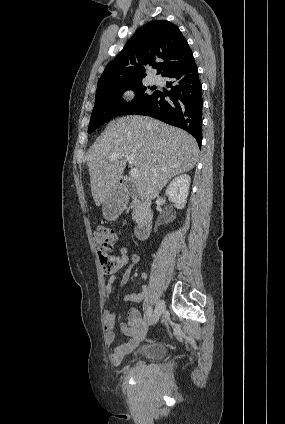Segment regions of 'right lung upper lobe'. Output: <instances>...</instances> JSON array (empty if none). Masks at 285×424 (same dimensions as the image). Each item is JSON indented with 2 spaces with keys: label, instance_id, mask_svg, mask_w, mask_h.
I'll return each mask as SVG.
<instances>
[{
  "label": "right lung upper lobe",
  "instance_id": "obj_1",
  "mask_svg": "<svg viewBox=\"0 0 285 424\" xmlns=\"http://www.w3.org/2000/svg\"><path fill=\"white\" fill-rule=\"evenodd\" d=\"M193 58L191 49L179 28L166 20H153L140 27L123 50L102 73L97 90L116 84L142 81L145 69L156 66L165 76Z\"/></svg>",
  "mask_w": 285,
  "mask_h": 424
}]
</instances>
